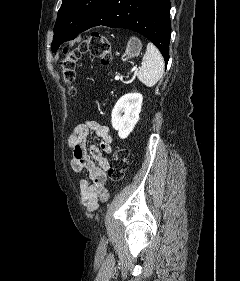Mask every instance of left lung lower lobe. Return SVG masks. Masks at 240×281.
<instances>
[{
	"mask_svg": "<svg viewBox=\"0 0 240 281\" xmlns=\"http://www.w3.org/2000/svg\"><path fill=\"white\" fill-rule=\"evenodd\" d=\"M170 0H104L80 32L104 25L136 31L169 60Z\"/></svg>",
	"mask_w": 240,
	"mask_h": 281,
	"instance_id": "1",
	"label": "left lung lower lobe"
}]
</instances>
